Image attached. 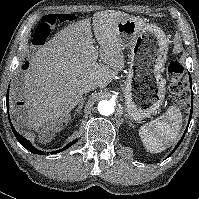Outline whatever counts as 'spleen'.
I'll use <instances>...</instances> for the list:
<instances>
[{
  "mask_svg": "<svg viewBox=\"0 0 199 199\" xmlns=\"http://www.w3.org/2000/svg\"><path fill=\"white\" fill-rule=\"evenodd\" d=\"M182 114L175 106L139 129V136L150 153H159L172 146L181 131Z\"/></svg>",
  "mask_w": 199,
  "mask_h": 199,
  "instance_id": "1",
  "label": "spleen"
}]
</instances>
